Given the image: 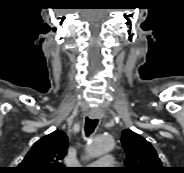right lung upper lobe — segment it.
<instances>
[{"mask_svg": "<svg viewBox=\"0 0 184 173\" xmlns=\"http://www.w3.org/2000/svg\"><path fill=\"white\" fill-rule=\"evenodd\" d=\"M67 148L66 134L54 131L33 145L16 170L18 173H67L63 166Z\"/></svg>", "mask_w": 184, "mask_h": 173, "instance_id": "obj_1", "label": "right lung upper lobe"}]
</instances>
